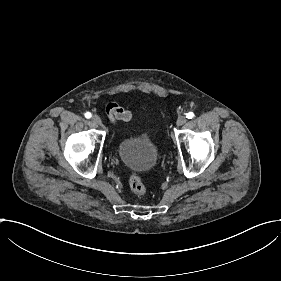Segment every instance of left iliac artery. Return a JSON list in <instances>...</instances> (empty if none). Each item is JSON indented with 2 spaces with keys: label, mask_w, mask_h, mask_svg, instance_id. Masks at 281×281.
<instances>
[{
  "label": "left iliac artery",
  "mask_w": 281,
  "mask_h": 281,
  "mask_svg": "<svg viewBox=\"0 0 281 281\" xmlns=\"http://www.w3.org/2000/svg\"><path fill=\"white\" fill-rule=\"evenodd\" d=\"M193 116H194V113L193 112H189V113H187L186 118L192 119Z\"/></svg>",
  "instance_id": "obj_1"
}]
</instances>
